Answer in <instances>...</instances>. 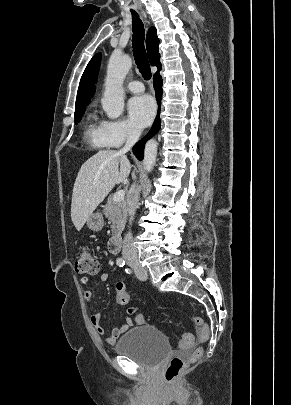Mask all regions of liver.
Here are the masks:
<instances>
[{
  "label": "liver",
  "instance_id": "obj_1",
  "mask_svg": "<svg viewBox=\"0 0 291 405\" xmlns=\"http://www.w3.org/2000/svg\"><path fill=\"white\" fill-rule=\"evenodd\" d=\"M130 170L127 156L114 150H101L81 166L71 204V219L77 231L114 186L127 179Z\"/></svg>",
  "mask_w": 291,
  "mask_h": 405
}]
</instances>
